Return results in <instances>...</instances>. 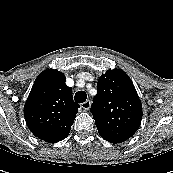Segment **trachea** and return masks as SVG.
I'll return each mask as SVG.
<instances>
[{
  "instance_id": "3493384b",
  "label": "trachea",
  "mask_w": 173,
  "mask_h": 173,
  "mask_svg": "<svg viewBox=\"0 0 173 173\" xmlns=\"http://www.w3.org/2000/svg\"><path fill=\"white\" fill-rule=\"evenodd\" d=\"M86 99L87 95L84 91H78L74 96V100L76 103H83L86 101Z\"/></svg>"
}]
</instances>
